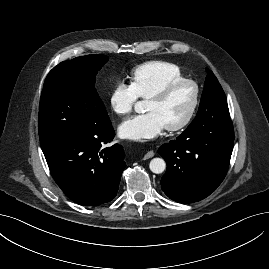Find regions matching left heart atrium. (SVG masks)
I'll return each mask as SVG.
<instances>
[{"instance_id":"1","label":"left heart atrium","mask_w":269,"mask_h":269,"mask_svg":"<svg viewBox=\"0 0 269 269\" xmlns=\"http://www.w3.org/2000/svg\"><path fill=\"white\" fill-rule=\"evenodd\" d=\"M165 128V123L158 114L146 112L125 120L118 131L124 139L146 141L159 136Z\"/></svg>"}]
</instances>
